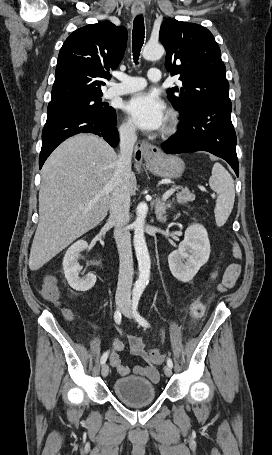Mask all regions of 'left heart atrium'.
Listing matches in <instances>:
<instances>
[{
	"mask_svg": "<svg viewBox=\"0 0 272 455\" xmlns=\"http://www.w3.org/2000/svg\"><path fill=\"white\" fill-rule=\"evenodd\" d=\"M125 111L133 123L145 131L159 130L166 121L164 102L153 93L135 94L126 102Z\"/></svg>",
	"mask_w": 272,
	"mask_h": 455,
	"instance_id": "obj_1",
	"label": "left heart atrium"
}]
</instances>
